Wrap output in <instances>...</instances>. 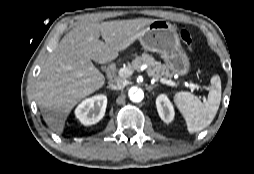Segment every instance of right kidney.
<instances>
[{
	"instance_id": "right-kidney-1",
	"label": "right kidney",
	"mask_w": 254,
	"mask_h": 174,
	"mask_svg": "<svg viewBox=\"0 0 254 174\" xmlns=\"http://www.w3.org/2000/svg\"><path fill=\"white\" fill-rule=\"evenodd\" d=\"M107 97L96 95L82 101L75 110L76 118L85 125L90 126L99 122L106 111Z\"/></svg>"
}]
</instances>
